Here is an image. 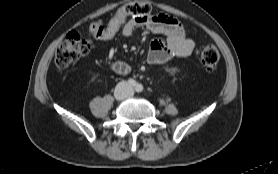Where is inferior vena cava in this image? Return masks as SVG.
<instances>
[{
    "label": "inferior vena cava",
    "mask_w": 278,
    "mask_h": 174,
    "mask_svg": "<svg viewBox=\"0 0 278 174\" xmlns=\"http://www.w3.org/2000/svg\"><path fill=\"white\" fill-rule=\"evenodd\" d=\"M123 88L125 89V93L123 97H129L133 94L132 88L127 83H122Z\"/></svg>",
    "instance_id": "inferior-vena-cava-1"
}]
</instances>
